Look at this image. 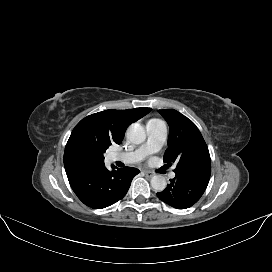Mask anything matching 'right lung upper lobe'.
Masks as SVG:
<instances>
[{
    "label": "right lung upper lobe",
    "instance_id": "1",
    "mask_svg": "<svg viewBox=\"0 0 272 272\" xmlns=\"http://www.w3.org/2000/svg\"><path fill=\"white\" fill-rule=\"evenodd\" d=\"M151 108H135L127 110H105L82 119L73 129L64 152V167L67 176L93 170L104 165L84 156L78 149V141L91 136L110 144H120L127 127L149 113Z\"/></svg>",
    "mask_w": 272,
    "mask_h": 272
}]
</instances>
